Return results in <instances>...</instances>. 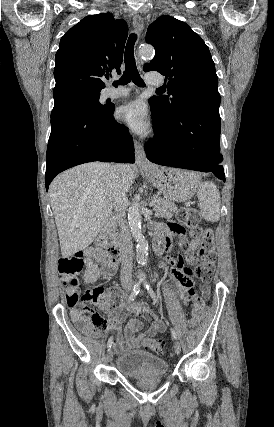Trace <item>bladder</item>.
Wrapping results in <instances>:
<instances>
[{
	"instance_id": "bladder-1",
	"label": "bladder",
	"mask_w": 274,
	"mask_h": 427,
	"mask_svg": "<svg viewBox=\"0 0 274 427\" xmlns=\"http://www.w3.org/2000/svg\"><path fill=\"white\" fill-rule=\"evenodd\" d=\"M116 371L127 378L167 376L169 365L166 359L143 349H132L116 357Z\"/></svg>"
}]
</instances>
